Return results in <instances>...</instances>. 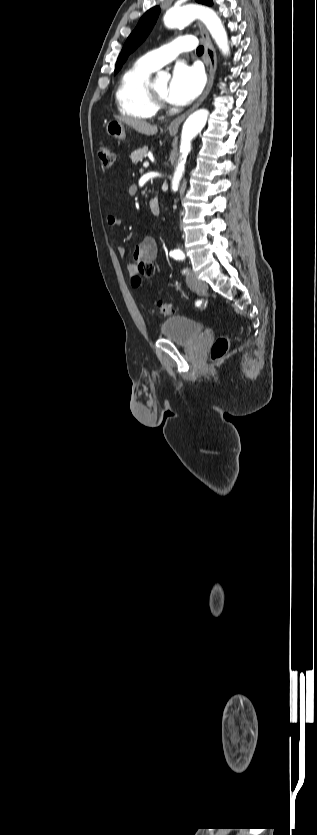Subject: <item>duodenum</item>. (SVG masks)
Masks as SVG:
<instances>
[{"label":"duodenum","mask_w":317,"mask_h":835,"mask_svg":"<svg viewBox=\"0 0 317 835\" xmlns=\"http://www.w3.org/2000/svg\"><path fill=\"white\" fill-rule=\"evenodd\" d=\"M149 209L154 214L157 215L160 212L159 201L157 198H152L149 201Z\"/></svg>","instance_id":"1"}]
</instances>
